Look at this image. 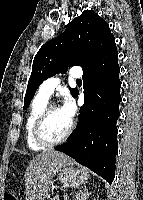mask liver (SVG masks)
Masks as SVG:
<instances>
[{
  "label": "liver",
  "mask_w": 143,
  "mask_h": 200,
  "mask_svg": "<svg viewBox=\"0 0 143 200\" xmlns=\"http://www.w3.org/2000/svg\"><path fill=\"white\" fill-rule=\"evenodd\" d=\"M73 163L72 158L58 151H44L36 155L25 172L26 200H45L54 175L63 166Z\"/></svg>",
  "instance_id": "1"
}]
</instances>
